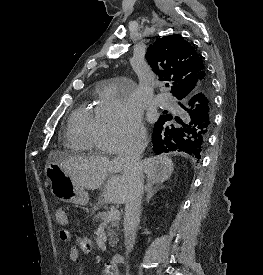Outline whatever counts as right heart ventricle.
<instances>
[{
    "label": "right heart ventricle",
    "mask_w": 263,
    "mask_h": 275,
    "mask_svg": "<svg viewBox=\"0 0 263 275\" xmlns=\"http://www.w3.org/2000/svg\"><path fill=\"white\" fill-rule=\"evenodd\" d=\"M100 106L91 109L82 106L70 116L65 143L76 151H88L99 148Z\"/></svg>",
    "instance_id": "e07e8e85"
}]
</instances>
